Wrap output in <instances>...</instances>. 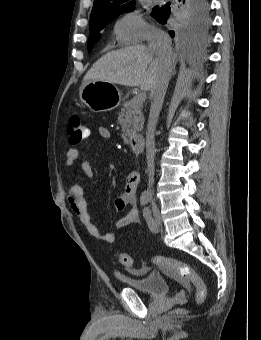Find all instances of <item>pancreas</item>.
Returning <instances> with one entry per match:
<instances>
[{
    "label": "pancreas",
    "mask_w": 261,
    "mask_h": 340,
    "mask_svg": "<svg viewBox=\"0 0 261 340\" xmlns=\"http://www.w3.org/2000/svg\"><path fill=\"white\" fill-rule=\"evenodd\" d=\"M118 121L122 126V138L128 143L130 138L143 129L144 117L141 106L133 101H126L119 113Z\"/></svg>",
    "instance_id": "pancreas-1"
}]
</instances>
